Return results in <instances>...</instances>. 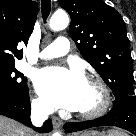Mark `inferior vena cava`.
Listing matches in <instances>:
<instances>
[{"label": "inferior vena cava", "instance_id": "1", "mask_svg": "<svg viewBox=\"0 0 136 136\" xmlns=\"http://www.w3.org/2000/svg\"><path fill=\"white\" fill-rule=\"evenodd\" d=\"M54 108L45 103H35L31 107V121L33 125L40 127L48 119V115L53 113Z\"/></svg>", "mask_w": 136, "mask_h": 136}]
</instances>
